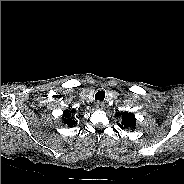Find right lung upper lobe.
I'll list each match as a JSON object with an SVG mask.
<instances>
[{
	"instance_id": "1",
	"label": "right lung upper lobe",
	"mask_w": 184,
	"mask_h": 184,
	"mask_svg": "<svg viewBox=\"0 0 184 184\" xmlns=\"http://www.w3.org/2000/svg\"><path fill=\"white\" fill-rule=\"evenodd\" d=\"M74 110H65L63 112V123L66 124L69 127H73L77 124V122L72 118V113Z\"/></svg>"
}]
</instances>
